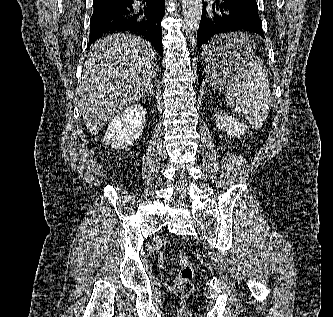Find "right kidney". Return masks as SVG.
Returning a JSON list of instances; mask_svg holds the SVG:
<instances>
[{"label":"right kidney","instance_id":"right-kidney-1","mask_svg":"<svg viewBox=\"0 0 333 317\" xmlns=\"http://www.w3.org/2000/svg\"><path fill=\"white\" fill-rule=\"evenodd\" d=\"M145 114L141 104L127 107L109 123L103 143L115 149H125L133 145L144 130Z\"/></svg>","mask_w":333,"mask_h":317}]
</instances>
